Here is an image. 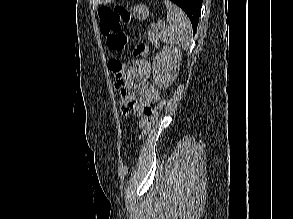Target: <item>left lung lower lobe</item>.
I'll return each instance as SVG.
<instances>
[{"instance_id":"1","label":"left lung lower lobe","mask_w":293,"mask_h":219,"mask_svg":"<svg viewBox=\"0 0 293 219\" xmlns=\"http://www.w3.org/2000/svg\"><path fill=\"white\" fill-rule=\"evenodd\" d=\"M171 1L177 4L179 7H181L185 11V13L188 15L192 23L193 33L195 34L198 21H199L202 0H171Z\"/></svg>"}]
</instances>
